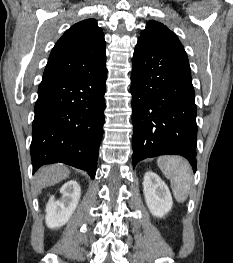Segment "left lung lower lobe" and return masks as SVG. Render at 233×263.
I'll return each mask as SVG.
<instances>
[{
    "label": "left lung lower lobe",
    "instance_id": "1",
    "mask_svg": "<svg viewBox=\"0 0 233 263\" xmlns=\"http://www.w3.org/2000/svg\"><path fill=\"white\" fill-rule=\"evenodd\" d=\"M131 80L133 167L147 157L180 154L195 172L197 109L186 52L138 42Z\"/></svg>",
    "mask_w": 233,
    "mask_h": 263
}]
</instances>
